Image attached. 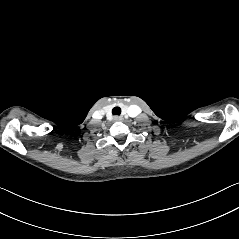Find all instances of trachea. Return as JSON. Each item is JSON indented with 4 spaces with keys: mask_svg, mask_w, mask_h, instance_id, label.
I'll list each match as a JSON object with an SVG mask.
<instances>
[{
    "mask_svg": "<svg viewBox=\"0 0 239 239\" xmlns=\"http://www.w3.org/2000/svg\"><path fill=\"white\" fill-rule=\"evenodd\" d=\"M113 115H120L121 114V109L120 107H114L112 110Z\"/></svg>",
    "mask_w": 239,
    "mask_h": 239,
    "instance_id": "3493384b",
    "label": "trachea"
}]
</instances>
